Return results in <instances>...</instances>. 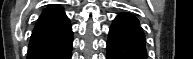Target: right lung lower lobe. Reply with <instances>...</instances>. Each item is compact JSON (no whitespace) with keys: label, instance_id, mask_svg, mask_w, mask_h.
I'll return each instance as SVG.
<instances>
[{"label":"right lung lower lobe","instance_id":"98d812e1","mask_svg":"<svg viewBox=\"0 0 193 59\" xmlns=\"http://www.w3.org/2000/svg\"><path fill=\"white\" fill-rule=\"evenodd\" d=\"M72 31L63 37L28 47L27 59H71Z\"/></svg>","mask_w":193,"mask_h":59}]
</instances>
